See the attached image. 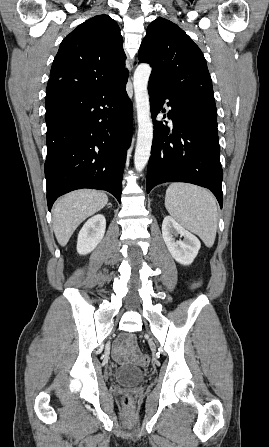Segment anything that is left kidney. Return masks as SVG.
<instances>
[{
    "instance_id": "5707ae66",
    "label": "left kidney",
    "mask_w": 269,
    "mask_h": 447,
    "mask_svg": "<svg viewBox=\"0 0 269 447\" xmlns=\"http://www.w3.org/2000/svg\"><path fill=\"white\" fill-rule=\"evenodd\" d=\"M183 235L184 239H175L174 235ZM163 239L174 259L183 263V265H189L192 263L194 257H196L201 243L193 233L181 227L177 224L171 216H166L162 224Z\"/></svg>"
}]
</instances>
